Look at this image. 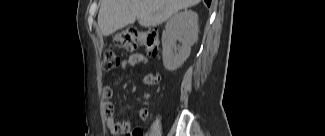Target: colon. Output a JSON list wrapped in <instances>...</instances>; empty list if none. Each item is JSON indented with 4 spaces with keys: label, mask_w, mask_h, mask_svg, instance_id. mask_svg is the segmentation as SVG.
Here are the masks:
<instances>
[{
    "label": "colon",
    "mask_w": 325,
    "mask_h": 136,
    "mask_svg": "<svg viewBox=\"0 0 325 136\" xmlns=\"http://www.w3.org/2000/svg\"><path fill=\"white\" fill-rule=\"evenodd\" d=\"M114 46L128 52L135 51L139 46L146 49L148 54L155 56L159 48V35L154 29L126 28L114 36ZM120 58L117 52L110 48L104 53L103 69L111 70L118 66ZM126 136H143L140 129H133Z\"/></svg>",
    "instance_id": "1"
}]
</instances>
